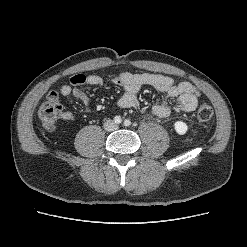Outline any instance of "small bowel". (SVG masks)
I'll use <instances>...</instances> for the list:
<instances>
[{
	"label": "small bowel",
	"instance_id": "1",
	"mask_svg": "<svg viewBox=\"0 0 247 247\" xmlns=\"http://www.w3.org/2000/svg\"><path fill=\"white\" fill-rule=\"evenodd\" d=\"M106 79L122 87L123 94L117 102V105L121 108H138L139 101L137 93L144 86H150L162 92L166 99L161 104H156L151 108L152 114L159 118H166L172 112L187 113L194 111L200 97L199 90L189 82L176 83L172 77L161 74L130 72L110 73L106 77L98 74L87 76L76 74L70 78L69 84L61 86L60 93L62 96L73 95L75 98L81 100L88 109H91L92 101L81 90V87H102ZM173 98L176 101L173 107H171L167 100ZM60 118L65 121H71L74 115L70 111L62 110Z\"/></svg>",
	"mask_w": 247,
	"mask_h": 247
}]
</instances>
